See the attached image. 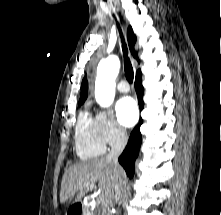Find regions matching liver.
<instances>
[{
  "mask_svg": "<svg viewBox=\"0 0 221 215\" xmlns=\"http://www.w3.org/2000/svg\"><path fill=\"white\" fill-rule=\"evenodd\" d=\"M125 172L121 166H118V177L114 173L112 163L106 158H97L86 162H81L71 166L64 174L61 189L60 202L63 204L68 199L72 198L75 193L76 202L87 194L89 186H95L99 183V191L103 200L110 201L114 198V187L117 180L124 183Z\"/></svg>",
  "mask_w": 221,
  "mask_h": 215,
  "instance_id": "obj_1",
  "label": "liver"
}]
</instances>
